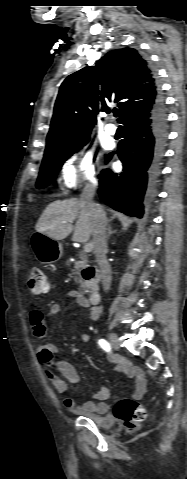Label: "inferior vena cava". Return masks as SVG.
I'll list each match as a JSON object with an SVG mask.
<instances>
[{"mask_svg": "<svg viewBox=\"0 0 187 479\" xmlns=\"http://www.w3.org/2000/svg\"><path fill=\"white\" fill-rule=\"evenodd\" d=\"M96 186V182L92 181L88 183L83 189V192L80 196V201L88 211L91 219L96 261L100 268L103 288L105 291H108L112 281L111 266L106 258V254L108 252L106 236V226L108 220L103 207L100 204L95 203L93 200Z\"/></svg>", "mask_w": 187, "mask_h": 479, "instance_id": "1", "label": "inferior vena cava"}]
</instances>
